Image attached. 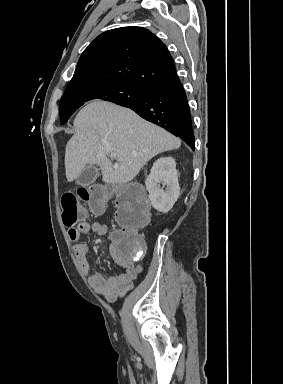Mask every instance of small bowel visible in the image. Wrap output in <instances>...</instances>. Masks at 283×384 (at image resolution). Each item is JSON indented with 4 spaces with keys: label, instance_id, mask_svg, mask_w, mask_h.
<instances>
[{
    "label": "small bowel",
    "instance_id": "1",
    "mask_svg": "<svg viewBox=\"0 0 283 384\" xmlns=\"http://www.w3.org/2000/svg\"><path fill=\"white\" fill-rule=\"evenodd\" d=\"M89 232H94L100 236L107 235L108 227L98 222L88 223L80 222L77 226L70 227L68 236L71 241L76 242L74 245L75 258L87 276L88 283L92 289L99 295L103 296L107 301L114 302L119 297L124 296L133 288L134 280L142 272V267L136 265L134 261L126 260L117 251L114 244L110 245L109 251L112 259L122 268V273L115 276L105 277L101 273L91 272L89 262L87 260L88 246L83 242H78L80 237Z\"/></svg>",
    "mask_w": 283,
    "mask_h": 384
}]
</instances>
